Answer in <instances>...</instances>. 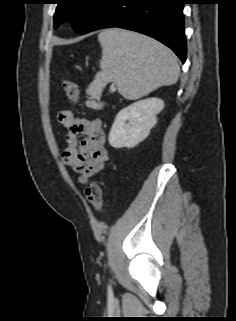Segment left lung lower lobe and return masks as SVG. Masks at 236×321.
Masks as SVG:
<instances>
[{"instance_id":"obj_1","label":"left lung lower lobe","mask_w":236,"mask_h":321,"mask_svg":"<svg viewBox=\"0 0 236 321\" xmlns=\"http://www.w3.org/2000/svg\"><path fill=\"white\" fill-rule=\"evenodd\" d=\"M183 4L186 0H107L80 33L108 27L140 32L170 47L184 63Z\"/></svg>"}]
</instances>
